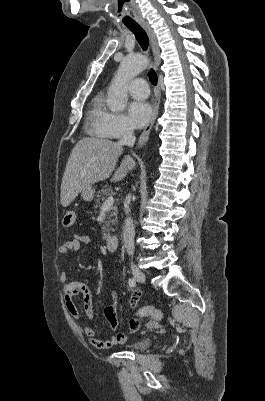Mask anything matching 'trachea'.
<instances>
[{
  "instance_id": "obj_1",
  "label": "trachea",
  "mask_w": 265,
  "mask_h": 401,
  "mask_svg": "<svg viewBox=\"0 0 265 401\" xmlns=\"http://www.w3.org/2000/svg\"><path fill=\"white\" fill-rule=\"evenodd\" d=\"M125 25L127 28H129V30H131L134 33L135 38L138 41L141 48L144 51H146L147 47L149 46V39H148V36H147L145 30H143V28H141L140 25H138V23H136V22L126 23ZM148 77H149V80L152 83V85L156 86L158 77H157L154 69H150V71L148 73Z\"/></svg>"
}]
</instances>
